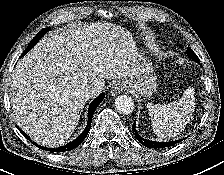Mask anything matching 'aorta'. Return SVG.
I'll return each instance as SVG.
<instances>
[{
	"instance_id": "1",
	"label": "aorta",
	"mask_w": 224,
	"mask_h": 175,
	"mask_svg": "<svg viewBox=\"0 0 224 175\" xmlns=\"http://www.w3.org/2000/svg\"><path fill=\"white\" fill-rule=\"evenodd\" d=\"M115 107L121 114H130L134 109V101L127 95H120L115 100Z\"/></svg>"
}]
</instances>
